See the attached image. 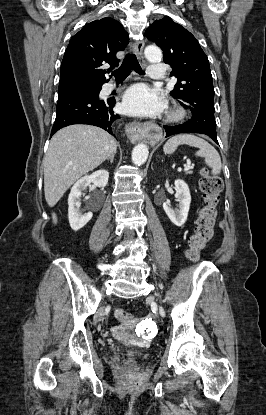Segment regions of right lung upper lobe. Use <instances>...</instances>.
Instances as JSON below:
<instances>
[{
    "label": "right lung upper lobe",
    "instance_id": "obj_1",
    "mask_svg": "<svg viewBox=\"0 0 266 415\" xmlns=\"http://www.w3.org/2000/svg\"><path fill=\"white\" fill-rule=\"evenodd\" d=\"M129 38L123 26L112 18H103L85 25L74 35L65 51L59 95L77 90L101 87L108 80L100 67L118 66L116 53L125 49Z\"/></svg>",
    "mask_w": 266,
    "mask_h": 415
}]
</instances>
